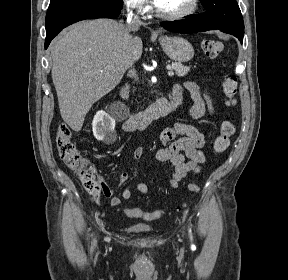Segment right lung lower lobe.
Masks as SVG:
<instances>
[{"label":"right lung lower lobe","mask_w":288,"mask_h":280,"mask_svg":"<svg viewBox=\"0 0 288 280\" xmlns=\"http://www.w3.org/2000/svg\"><path fill=\"white\" fill-rule=\"evenodd\" d=\"M121 9L100 0H64L49 6L45 19V49L66 26L83 19L116 18Z\"/></svg>","instance_id":"right-lung-lower-lobe-1"}]
</instances>
